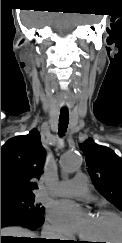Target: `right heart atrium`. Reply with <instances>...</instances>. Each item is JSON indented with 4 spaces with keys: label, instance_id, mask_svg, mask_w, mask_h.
<instances>
[{
    "label": "right heart atrium",
    "instance_id": "right-heart-atrium-1",
    "mask_svg": "<svg viewBox=\"0 0 122 243\" xmlns=\"http://www.w3.org/2000/svg\"><path fill=\"white\" fill-rule=\"evenodd\" d=\"M47 233L54 237H62V234L53 226L47 227Z\"/></svg>",
    "mask_w": 122,
    "mask_h": 243
}]
</instances>
